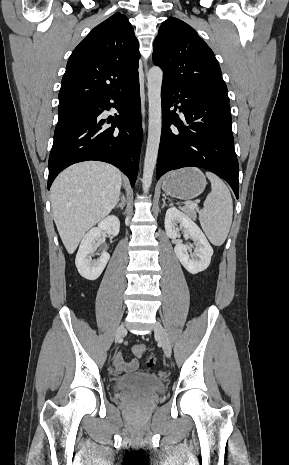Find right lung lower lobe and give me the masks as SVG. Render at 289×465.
<instances>
[{"mask_svg": "<svg viewBox=\"0 0 289 465\" xmlns=\"http://www.w3.org/2000/svg\"><path fill=\"white\" fill-rule=\"evenodd\" d=\"M115 104H111L110 100ZM115 107L119 114L103 119L104 110ZM112 126L108 127L107 124ZM142 142L139 78L121 90L92 103L88 116L55 129L49 156L48 189L55 177L71 164L98 160L125 173L133 186L137 177Z\"/></svg>", "mask_w": 289, "mask_h": 465, "instance_id": "98d812e1", "label": "right lung lower lobe"}]
</instances>
